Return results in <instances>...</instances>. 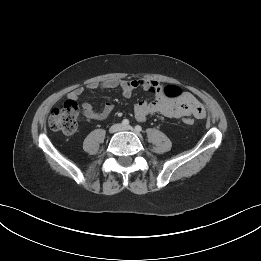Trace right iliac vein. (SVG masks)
I'll list each match as a JSON object with an SVG mask.
<instances>
[{
	"label": "right iliac vein",
	"mask_w": 261,
	"mask_h": 261,
	"mask_svg": "<svg viewBox=\"0 0 261 261\" xmlns=\"http://www.w3.org/2000/svg\"><path fill=\"white\" fill-rule=\"evenodd\" d=\"M122 126L120 124H114L113 126L110 127L109 132L110 133H115L120 131Z\"/></svg>",
	"instance_id": "63e3f726"
}]
</instances>
